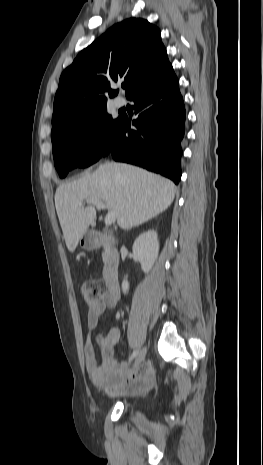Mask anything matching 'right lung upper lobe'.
<instances>
[{
    "mask_svg": "<svg viewBox=\"0 0 263 465\" xmlns=\"http://www.w3.org/2000/svg\"><path fill=\"white\" fill-rule=\"evenodd\" d=\"M169 63L160 30L141 18L115 24L82 50L62 73L52 123L72 111L107 102L118 91L110 83L129 84L126 96L164 73Z\"/></svg>",
    "mask_w": 263,
    "mask_h": 465,
    "instance_id": "1",
    "label": "right lung upper lobe"
}]
</instances>
